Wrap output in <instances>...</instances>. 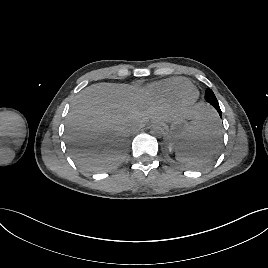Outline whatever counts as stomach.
Here are the masks:
<instances>
[{
	"mask_svg": "<svg viewBox=\"0 0 268 268\" xmlns=\"http://www.w3.org/2000/svg\"><path fill=\"white\" fill-rule=\"evenodd\" d=\"M168 139L171 141V146L175 149L186 146L190 142L192 135L193 124L188 122L183 117H178L170 122V125L162 123Z\"/></svg>",
	"mask_w": 268,
	"mask_h": 268,
	"instance_id": "0dacf381",
	"label": "stomach"
}]
</instances>
